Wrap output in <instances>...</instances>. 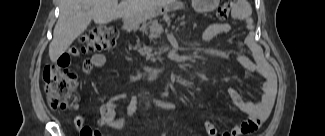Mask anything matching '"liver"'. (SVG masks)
<instances>
[{
    "label": "liver",
    "mask_w": 325,
    "mask_h": 136,
    "mask_svg": "<svg viewBox=\"0 0 325 136\" xmlns=\"http://www.w3.org/2000/svg\"><path fill=\"white\" fill-rule=\"evenodd\" d=\"M171 0H60V15L49 45L52 62L69 48L73 41L89 26L91 20L107 24L119 18H132L157 7L170 4Z\"/></svg>",
    "instance_id": "6515ba94"
}]
</instances>
